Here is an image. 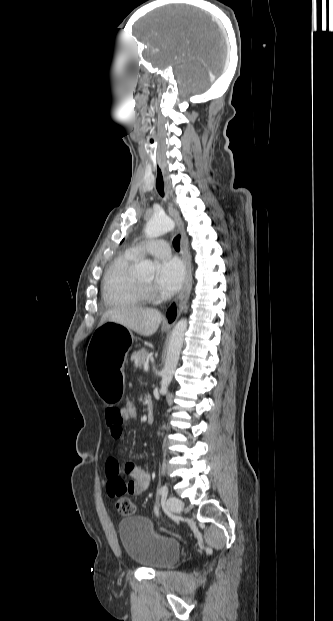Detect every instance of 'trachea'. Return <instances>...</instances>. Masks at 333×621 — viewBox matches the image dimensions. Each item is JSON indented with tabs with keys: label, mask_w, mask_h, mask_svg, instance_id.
<instances>
[{
	"label": "trachea",
	"mask_w": 333,
	"mask_h": 621,
	"mask_svg": "<svg viewBox=\"0 0 333 621\" xmlns=\"http://www.w3.org/2000/svg\"><path fill=\"white\" fill-rule=\"evenodd\" d=\"M173 246L175 248V250L179 251L180 250V235H177L174 240H173Z\"/></svg>",
	"instance_id": "3493384b"
}]
</instances>
